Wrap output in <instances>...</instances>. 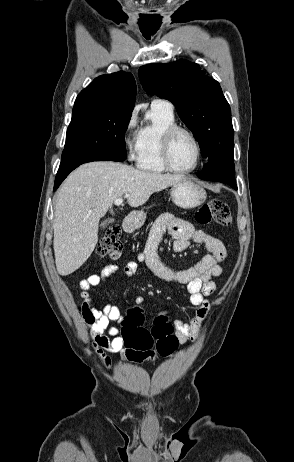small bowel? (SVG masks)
<instances>
[{"mask_svg": "<svg viewBox=\"0 0 294 462\" xmlns=\"http://www.w3.org/2000/svg\"><path fill=\"white\" fill-rule=\"evenodd\" d=\"M165 233L170 234L175 252L185 251L191 242L202 244L208 253L196 264L186 269L175 270L167 266L160 259L158 247ZM226 257L223 243L216 237L196 230L192 223L177 218L172 214H163L152 226L145 250L136 260L130 261L122 267L126 277H134L138 266L146 264L149 270L159 279L183 285L189 294L190 303L197 307L195 316L187 323L181 319L173 321L175 336L179 343L194 341L201 330L206 318L210 302L207 299L216 289L214 278L222 273L220 263ZM118 271V266L108 264L100 273H94L82 279L79 283L82 298V315L85 322L91 326L93 347L107 369L113 364L106 352L119 353L123 362L139 364L148 358L144 352L134 350L125 345L118 327L113 323L123 320L120 309L113 304L103 308H96L91 297V290L107 281L108 277Z\"/></svg>", "mask_w": 294, "mask_h": 462, "instance_id": "obj_1", "label": "small bowel"}]
</instances>
